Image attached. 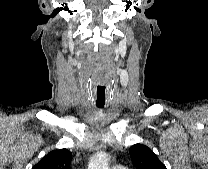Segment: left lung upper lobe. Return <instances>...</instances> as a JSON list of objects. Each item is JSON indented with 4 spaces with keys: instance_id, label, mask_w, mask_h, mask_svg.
I'll return each mask as SVG.
<instances>
[{
    "instance_id": "1",
    "label": "left lung upper lobe",
    "mask_w": 208,
    "mask_h": 169,
    "mask_svg": "<svg viewBox=\"0 0 208 169\" xmlns=\"http://www.w3.org/2000/svg\"><path fill=\"white\" fill-rule=\"evenodd\" d=\"M130 154L137 169H166L154 152L145 145L135 144L131 146Z\"/></svg>"
}]
</instances>
